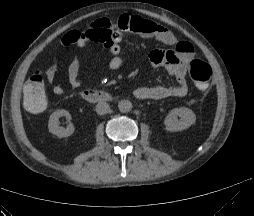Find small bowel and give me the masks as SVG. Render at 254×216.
<instances>
[{"label":"small bowel","mask_w":254,"mask_h":216,"mask_svg":"<svg viewBox=\"0 0 254 216\" xmlns=\"http://www.w3.org/2000/svg\"><path fill=\"white\" fill-rule=\"evenodd\" d=\"M91 29H105L109 31L111 43L108 45L111 58L108 66L111 70H117L122 66L120 56V42L123 33L131 32L145 38H152L170 47L169 50H155L149 54V63L152 67L164 66L169 75L177 81V86H140L133 92L137 99L160 100L170 97H184L188 92V85L185 79L186 63L194 54V48L191 43L178 40L176 36L166 27L151 20L134 16H124L117 26H113L109 21L100 19L90 26ZM88 40L83 36L80 30H72L66 33L61 39L63 46L77 45L85 47ZM68 83L72 88H78L81 85L80 79V60L74 58L68 66ZM57 67L52 65L46 71V78L51 86L54 95L60 96L64 92L63 86L56 82Z\"/></svg>","instance_id":"c3829d8e"}]
</instances>
